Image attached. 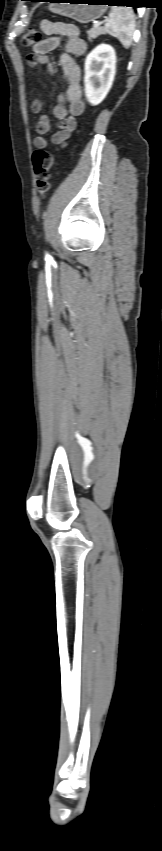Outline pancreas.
Here are the masks:
<instances>
[{
	"mask_svg": "<svg viewBox=\"0 0 162 851\" xmlns=\"http://www.w3.org/2000/svg\"><path fill=\"white\" fill-rule=\"evenodd\" d=\"M105 34V30L102 27H94L87 31L89 41L96 39L98 36Z\"/></svg>",
	"mask_w": 162,
	"mask_h": 851,
	"instance_id": "pancreas-1",
	"label": "pancreas"
}]
</instances>
